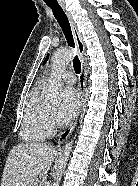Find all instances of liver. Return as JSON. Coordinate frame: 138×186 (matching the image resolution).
<instances>
[{
  "label": "liver",
  "mask_w": 138,
  "mask_h": 186,
  "mask_svg": "<svg viewBox=\"0 0 138 186\" xmlns=\"http://www.w3.org/2000/svg\"><path fill=\"white\" fill-rule=\"evenodd\" d=\"M58 151L44 143L14 146L5 163L1 186H31L37 176L44 177Z\"/></svg>",
  "instance_id": "obj_1"
}]
</instances>
